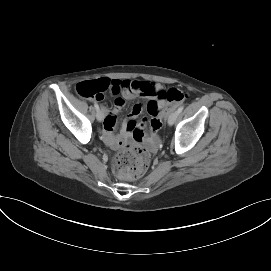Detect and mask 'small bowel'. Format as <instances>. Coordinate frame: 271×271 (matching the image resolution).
Returning a JSON list of instances; mask_svg holds the SVG:
<instances>
[{
  "label": "small bowel",
  "instance_id": "c3829d8e",
  "mask_svg": "<svg viewBox=\"0 0 271 271\" xmlns=\"http://www.w3.org/2000/svg\"><path fill=\"white\" fill-rule=\"evenodd\" d=\"M108 81L110 83V90L116 98L114 100L113 109L110 111L104 110L103 128L106 143L112 147H117L129 137H132L136 141L142 140L143 131L146 127L147 121L143 119L140 122H136V118L144 109H146L148 113L154 117L152 120H161L168 106V102L164 98L160 97V93L163 92L165 88L160 84L149 81L115 79ZM139 97L147 98L148 102L145 106L137 104L133 107L130 115L123 121V129L121 133L116 135L114 131L117 125V114L124 107L125 100H132ZM151 132V142L154 143L156 141L154 136L156 131L151 129Z\"/></svg>",
  "mask_w": 271,
  "mask_h": 271
}]
</instances>
